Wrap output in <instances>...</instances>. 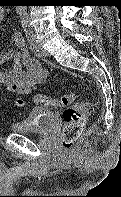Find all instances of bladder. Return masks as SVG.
Segmentation results:
<instances>
[{
	"label": "bladder",
	"mask_w": 121,
	"mask_h": 197,
	"mask_svg": "<svg viewBox=\"0 0 121 197\" xmlns=\"http://www.w3.org/2000/svg\"><path fill=\"white\" fill-rule=\"evenodd\" d=\"M54 113L47 109L31 113L26 118L10 125L11 132L16 134L46 133L54 124Z\"/></svg>",
	"instance_id": "obj_1"
}]
</instances>
